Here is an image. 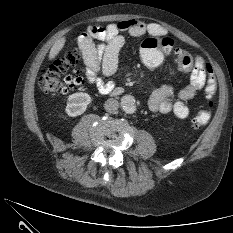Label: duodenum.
Here are the masks:
<instances>
[{"label": "duodenum", "instance_id": "1", "mask_svg": "<svg viewBox=\"0 0 233 233\" xmlns=\"http://www.w3.org/2000/svg\"><path fill=\"white\" fill-rule=\"evenodd\" d=\"M119 93L120 91L118 89L114 91V94H119Z\"/></svg>", "mask_w": 233, "mask_h": 233}]
</instances>
